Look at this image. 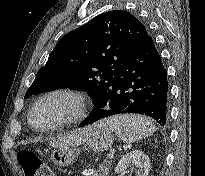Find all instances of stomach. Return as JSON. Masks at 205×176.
<instances>
[{"mask_svg":"<svg viewBox=\"0 0 205 176\" xmlns=\"http://www.w3.org/2000/svg\"><path fill=\"white\" fill-rule=\"evenodd\" d=\"M90 127V133L87 140L83 143L84 147L94 151L103 152L108 150L114 141V135L110 128L94 124ZM81 149L79 146L70 148H57L52 151L50 159L59 167L71 165L79 155Z\"/></svg>","mask_w":205,"mask_h":176,"instance_id":"obj_1","label":"stomach"}]
</instances>
